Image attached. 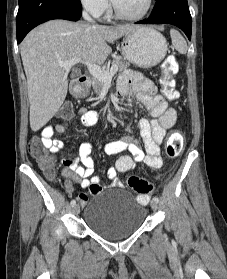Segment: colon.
I'll return each instance as SVG.
<instances>
[{
    "mask_svg": "<svg viewBox=\"0 0 227 279\" xmlns=\"http://www.w3.org/2000/svg\"><path fill=\"white\" fill-rule=\"evenodd\" d=\"M178 63L174 57H168L162 64V72L160 74V86L164 97L170 100L177 99L179 93L176 89L174 75L178 72ZM61 113L64 117H69L72 114V108L69 105H63ZM184 135L178 130H173L169 133L165 143V153L168 158H177L184 146ZM30 156L40 165L48 176L53 174V159L47 154L43 145V140L33 139L28 146ZM127 184L131 190L137 194L139 203L145 204L148 202L150 195L153 193V185L146 179L131 175L127 178ZM92 192L98 190L97 185L90 187ZM84 197L85 194H81Z\"/></svg>",
    "mask_w": 227,
    "mask_h": 279,
    "instance_id": "5ec220e1",
    "label": "colon"
}]
</instances>
